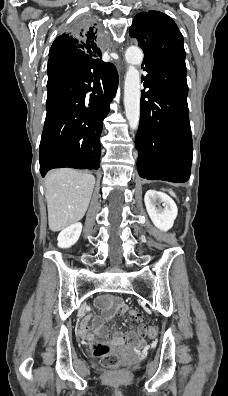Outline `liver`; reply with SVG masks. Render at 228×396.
<instances>
[{"label":"liver","instance_id":"obj_1","mask_svg":"<svg viewBox=\"0 0 228 396\" xmlns=\"http://www.w3.org/2000/svg\"><path fill=\"white\" fill-rule=\"evenodd\" d=\"M95 177L69 168L56 169L45 179L48 225L57 232L78 222L85 215Z\"/></svg>","mask_w":228,"mask_h":396}]
</instances>
